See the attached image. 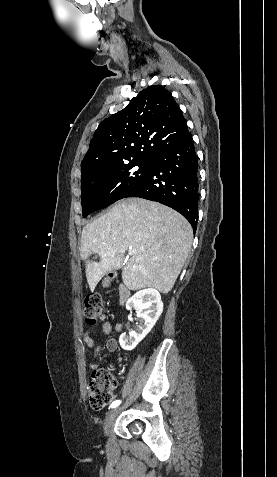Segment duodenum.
Masks as SVG:
<instances>
[{
    "label": "duodenum",
    "mask_w": 277,
    "mask_h": 477,
    "mask_svg": "<svg viewBox=\"0 0 277 477\" xmlns=\"http://www.w3.org/2000/svg\"><path fill=\"white\" fill-rule=\"evenodd\" d=\"M118 295H119L120 305H124L129 300V298L131 296V292L126 285L122 284L119 287Z\"/></svg>",
    "instance_id": "duodenum-1"
}]
</instances>
